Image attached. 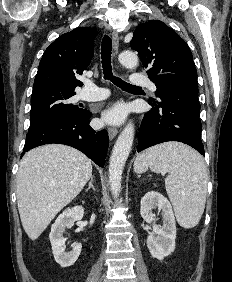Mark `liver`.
<instances>
[{"mask_svg":"<svg viewBox=\"0 0 232 282\" xmlns=\"http://www.w3.org/2000/svg\"><path fill=\"white\" fill-rule=\"evenodd\" d=\"M91 176L90 159L72 147L48 144L27 152L19 165L17 202L28 237L37 239Z\"/></svg>","mask_w":232,"mask_h":282,"instance_id":"obj_1","label":"liver"}]
</instances>
